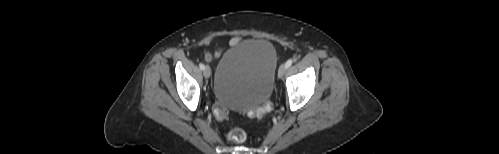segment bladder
<instances>
[{
  "mask_svg": "<svg viewBox=\"0 0 499 154\" xmlns=\"http://www.w3.org/2000/svg\"><path fill=\"white\" fill-rule=\"evenodd\" d=\"M277 67L274 45L250 39L230 48L220 58L214 82L216 99L226 108L244 111L265 103L272 92Z\"/></svg>",
  "mask_w": 499,
  "mask_h": 154,
  "instance_id": "bladder-1",
  "label": "bladder"
}]
</instances>
